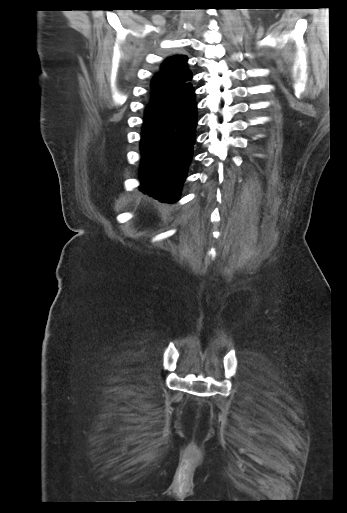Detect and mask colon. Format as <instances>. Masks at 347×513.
Here are the masks:
<instances>
[{"label": "colon", "mask_w": 347, "mask_h": 513, "mask_svg": "<svg viewBox=\"0 0 347 513\" xmlns=\"http://www.w3.org/2000/svg\"><path fill=\"white\" fill-rule=\"evenodd\" d=\"M191 454L194 455V456H197L198 453H197V451L194 450V451L191 452Z\"/></svg>", "instance_id": "1"}]
</instances>
